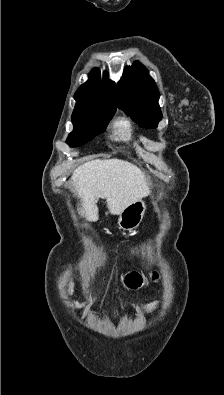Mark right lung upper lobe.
I'll return each instance as SVG.
<instances>
[{"mask_svg":"<svg viewBox=\"0 0 224 395\" xmlns=\"http://www.w3.org/2000/svg\"><path fill=\"white\" fill-rule=\"evenodd\" d=\"M74 98L84 100L97 107L116 109L115 84L107 80L106 72H104V80L101 81L98 69L91 71L89 80L78 88Z\"/></svg>","mask_w":224,"mask_h":395,"instance_id":"right-lung-upper-lobe-1","label":"right lung upper lobe"}]
</instances>
